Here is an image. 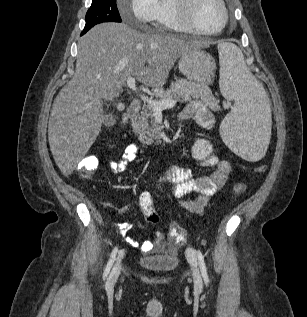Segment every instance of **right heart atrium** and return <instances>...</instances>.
<instances>
[{"instance_id": "right-heart-atrium-1", "label": "right heart atrium", "mask_w": 307, "mask_h": 317, "mask_svg": "<svg viewBox=\"0 0 307 317\" xmlns=\"http://www.w3.org/2000/svg\"><path fill=\"white\" fill-rule=\"evenodd\" d=\"M128 1V5L121 10L123 18H132L140 24H150L157 20L160 12L159 0Z\"/></svg>"}]
</instances>
